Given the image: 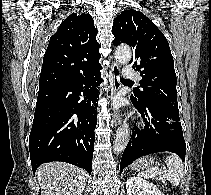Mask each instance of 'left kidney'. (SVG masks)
I'll list each match as a JSON object with an SVG mask.
<instances>
[{"instance_id": "1", "label": "left kidney", "mask_w": 211, "mask_h": 195, "mask_svg": "<svg viewBox=\"0 0 211 195\" xmlns=\"http://www.w3.org/2000/svg\"><path fill=\"white\" fill-rule=\"evenodd\" d=\"M127 195H164L154 184L133 176L126 182Z\"/></svg>"}]
</instances>
